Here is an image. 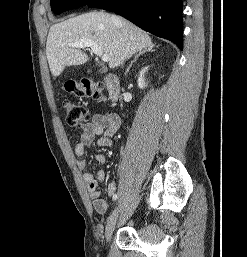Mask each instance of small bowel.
<instances>
[{
  "mask_svg": "<svg viewBox=\"0 0 247 257\" xmlns=\"http://www.w3.org/2000/svg\"><path fill=\"white\" fill-rule=\"evenodd\" d=\"M120 124L118 115L113 113L96 114L92 120L82 127V133L78 142L75 145L74 152L77 158L79 168L83 169L86 164L85 149L91 145L95 138L99 136L96 141L98 147H109L112 144L111 137L116 132ZM96 160L100 164L106 163V156L98 154ZM106 177L105 171L99 170L95 175L85 173L83 180L87 185L90 197L93 200V207L99 214H105L109 209V203L101 198V191L99 182L103 181ZM107 193L109 196L116 194V184L110 182L107 186Z\"/></svg>",
  "mask_w": 247,
  "mask_h": 257,
  "instance_id": "small-bowel-1",
  "label": "small bowel"
}]
</instances>
